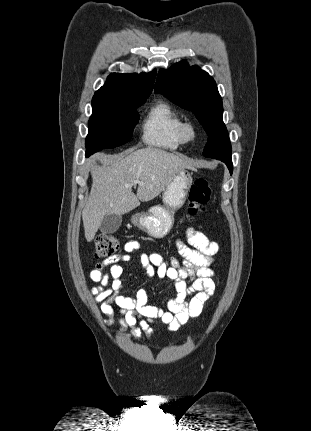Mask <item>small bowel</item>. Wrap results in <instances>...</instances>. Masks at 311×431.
Instances as JSON below:
<instances>
[{
  "instance_id": "1",
  "label": "small bowel",
  "mask_w": 311,
  "mask_h": 431,
  "mask_svg": "<svg viewBox=\"0 0 311 431\" xmlns=\"http://www.w3.org/2000/svg\"><path fill=\"white\" fill-rule=\"evenodd\" d=\"M187 243L176 242L178 253L183 257V266L175 262L172 266L164 263L158 253L143 252L140 265L149 277L167 279L173 284L174 296L167 302V310L147 304L144 289H138L135 296H125L121 281L123 268L120 262L131 260L132 253L141 248L136 241L127 242L124 253L115 255L99 263L89 273V279L98 283L91 289L95 302L107 325L113 323V305L120 308L119 332L132 329L135 337L141 332H150L154 320H160L170 331H177L190 319L198 317L215 292V272L211 268L219 251V244L211 241L200 229L188 228ZM110 266L108 273L103 269ZM190 282L188 284L187 282Z\"/></svg>"
}]
</instances>
